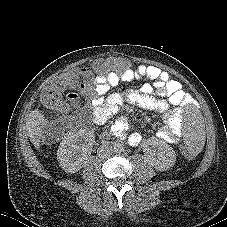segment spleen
<instances>
[{
    "instance_id": "obj_1",
    "label": "spleen",
    "mask_w": 227,
    "mask_h": 227,
    "mask_svg": "<svg viewBox=\"0 0 227 227\" xmlns=\"http://www.w3.org/2000/svg\"><path fill=\"white\" fill-rule=\"evenodd\" d=\"M185 145L192 152H199L206 145V129L203 110L196 103H189L182 110Z\"/></svg>"
}]
</instances>
